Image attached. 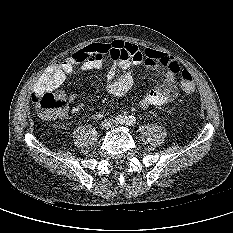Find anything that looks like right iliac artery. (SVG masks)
<instances>
[{"label": "right iliac artery", "mask_w": 233, "mask_h": 233, "mask_svg": "<svg viewBox=\"0 0 233 233\" xmlns=\"http://www.w3.org/2000/svg\"><path fill=\"white\" fill-rule=\"evenodd\" d=\"M127 116H122V115H118L115 120L117 123L119 124H124L125 122H127Z\"/></svg>", "instance_id": "obj_1"}]
</instances>
